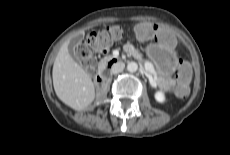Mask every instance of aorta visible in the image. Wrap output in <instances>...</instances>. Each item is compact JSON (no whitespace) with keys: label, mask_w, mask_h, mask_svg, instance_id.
I'll list each match as a JSON object with an SVG mask.
<instances>
[{"label":"aorta","mask_w":230,"mask_h":155,"mask_svg":"<svg viewBox=\"0 0 230 155\" xmlns=\"http://www.w3.org/2000/svg\"><path fill=\"white\" fill-rule=\"evenodd\" d=\"M127 70L131 73H134L138 70V64L136 62H129L127 64Z\"/></svg>","instance_id":"aorta-1"}]
</instances>
